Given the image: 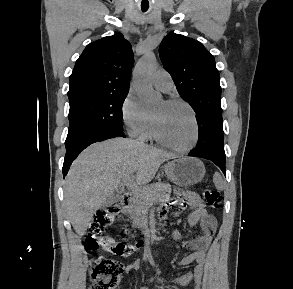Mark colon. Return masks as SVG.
<instances>
[{
    "label": "colon",
    "instance_id": "obj_1",
    "mask_svg": "<svg viewBox=\"0 0 293 289\" xmlns=\"http://www.w3.org/2000/svg\"><path fill=\"white\" fill-rule=\"evenodd\" d=\"M203 195L211 207L216 208L220 205L221 195L218 191L205 189ZM176 204L183 207L182 199L178 200ZM169 209L170 207H165L160 212V215L164 214L166 216ZM120 210V205L114 204L95 215L88 227V233L84 240V246L87 250L94 251L102 247L108 253L120 257H127L138 251V243L115 241L110 237L103 236L105 228L114 222ZM124 269V265L114 259L103 257L91 259L89 270L90 289H115Z\"/></svg>",
    "mask_w": 293,
    "mask_h": 289
}]
</instances>
